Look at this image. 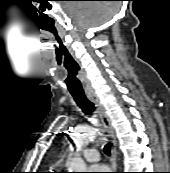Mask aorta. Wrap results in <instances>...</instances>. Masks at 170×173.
I'll return each instance as SVG.
<instances>
[{"label": "aorta", "instance_id": "obj_1", "mask_svg": "<svg viewBox=\"0 0 170 173\" xmlns=\"http://www.w3.org/2000/svg\"><path fill=\"white\" fill-rule=\"evenodd\" d=\"M96 136V131L93 128H83L75 134L74 142L78 146H84ZM70 172H86V165L79 154L73 159L70 164Z\"/></svg>", "mask_w": 170, "mask_h": 173}]
</instances>
